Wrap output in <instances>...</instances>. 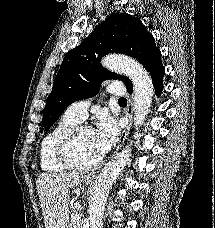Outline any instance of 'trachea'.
Instances as JSON below:
<instances>
[{
    "mask_svg": "<svg viewBox=\"0 0 215 228\" xmlns=\"http://www.w3.org/2000/svg\"><path fill=\"white\" fill-rule=\"evenodd\" d=\"M118 102H119V104H126L127 100H126V98L122 97V98H119Z\"/></svg>",
    "mask_w": 215,
    "mask_h": 228,
    "instance_id": "1",
    "label": "trachea"
}]
</instances>
